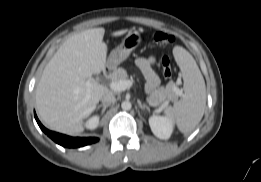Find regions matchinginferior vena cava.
I'll return each instance as SVG.
<instances>
[{
  "instance_id": "602c4592",
  "label": "inferior vena cava",
  "mask_w": 261,
  "mask_h": 182,
  "mask_svg": "<svg viewBox=\"0 0 261 182\" xmlns=\"http://www.w3.org/2000/svg\"><path fill=\"white\" fill-rule=\"evenodd\" d=\"M101 101L103 104L110 105L116 101V98L112 93H108L102 96Z\"/></svg>"
}]
</instances>
